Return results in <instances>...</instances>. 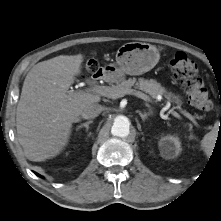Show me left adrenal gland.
Here are the masks:
<instances>
[{"label":"left adrenal gland","mask_w":221,"mask_h":221,"mask_svg":"<svg viewBox=\"0 0 221 221\" xmlns=\"http://www.w3.org/2000/svg\"><path fill=\"white\" fill-rule=\"evenodd\" d=\"M139 115H140L141 119H142L143 121H145L149 116L152 115V112L142 113L141 111H139Z\"/></svg>","instance_id":"a2214340"}]
</instances>
